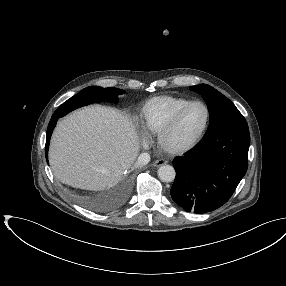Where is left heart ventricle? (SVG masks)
Here are the masks:
<instances>
[{
    "instance_id": "left-heart-ventricle-1",
    "label": "left heart ventricle",
    "mask_w": 286,
    "mask_h": 286,
    "mask_svg": "<svg viewBox=\"0 0 286 286\" xmlns=\"http://www.w3.org/2000/svg\"><path fill=\"white\" fill-rule=\"evenodd\" d=\"M206 111L202 105L190 107L178 124L167 135L166 143L170 147H182L191 143L204 128Z\"/></svg>"
}]
</instances>
